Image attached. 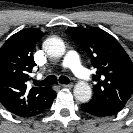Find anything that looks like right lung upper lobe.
<instances>
[{
  "label": "right lung upper lobe",
  "instance_id": "cb5924a9",
  "mask_svg": "<svg viewBox=\"0 0 133 133\" xmlns=\"http://www.w3.org/2000/svg\"><path fill=\"white\" fill-rule=\"evenodd\" d=\"M43 33L24 29L12 35L0 49V102L11 113L31 117L45 111L55 98L51 87H30L36 65L33 51Z\"/></svg>",
  "mask_w": 133,
  "mask_h": 133
}]
</instances>
